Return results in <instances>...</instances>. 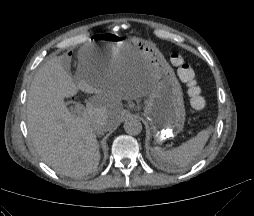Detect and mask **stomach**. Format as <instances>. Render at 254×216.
Wrapping results in <instances>:
<instances>
[{
	"label": "stomach",
	"mask_w": 254,
	"mask_h": 216,
	"mask_svg": "<svg viewBox=\"0 0 254 216\" xmlns=\"http://www.w3.org/2000/svg\"><path fill=\"white\" fill-rule=\"evenodd\" d=\"M88 76L117 67L146 63L152 83L145 101L144 117L157 143L176 136L184 126L183 92L171 66L156 46L143 40H121L113 34H97L90 42Z\"/></svg>",
	"instance_id": "obj_1"
}]
</instances>
